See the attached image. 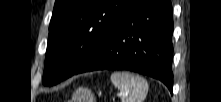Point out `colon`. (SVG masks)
Here are the masks:
<instances>
[{
	"instance_id": "1",
	"label": "colon",
	"mask_w": 221,
	"mask_h": 102,
	"mask_svg": "<svg viewBox=\"0 0 221 102\" xmlns=\"http://www.w3.org/2000/svg\"><path fill=\"white\" fill-rule=\"evenodd\" d=\"M70 102H95V98L90 89L82 87L75 90Z\"/></svg>"
}]
</instances>
